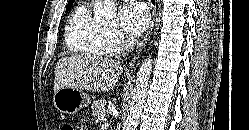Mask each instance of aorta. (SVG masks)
I'll return each instance as SVG.
<instances>
[{
  "instance_id": "762f6f07",
  "label": "aorta",
  "mask_w": 249,
  "mask_h": 130,
  "mask_svg": "<svg viewBox=\"0 0 249 130\" xmlns=\"http://www.w3.org/2000/svg\"><path fill=\"white\" fill-rule=\"evenodd\" d=\"M116 5L112 0H98L94 6V17L97 21L111 23L117 20ZM152 72V59L146 58L137 73L135 87L132 93V100L129 112L123 124V130H136L142 109L145 103L149 78Z\"/></svg>"
}]
</instances>
